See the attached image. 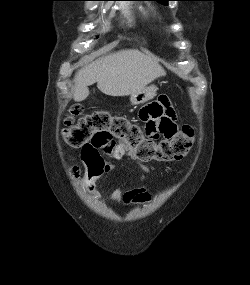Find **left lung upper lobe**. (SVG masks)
I'll use <instances>...</instances> for the list:
<instances>
[{"label":"left lung upper lobe","mask_w":250,"mask_h":285,"mask_svg":"<svg viewBox=\"0 0 250 285\" xmlns=\"http://www.w3.org/2000/svg\"><path fill=\"white\" fill-rule=\"evenodd\" d=\"M155 1H159V2H161L162 4L167 5V2H168V1H171V0H155Z\"/></svg>","instance_id":"obj_1"}]
</instances>
